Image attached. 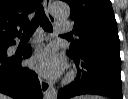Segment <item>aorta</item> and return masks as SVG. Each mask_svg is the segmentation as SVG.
<instances>
[{
    "instance_id": "obj_1",
    "label": "aorta",
    "mask_w": 128,
    "mask_h": 99,
    "mask_svg": "<svg viewBox=\"0 0 128 99\" xmlns=\"http://www.w3.org/2000/svg\"><path fill=\"white\" fill-rule=\"evenodd\" d=\"M51 10L53 15L59 19L67 18L70 15V7L64 1L57 0L53 2ZM57 95V90L55 88H51L46 92L44 99H57Z\"/></svg>"
}]
</instances>
